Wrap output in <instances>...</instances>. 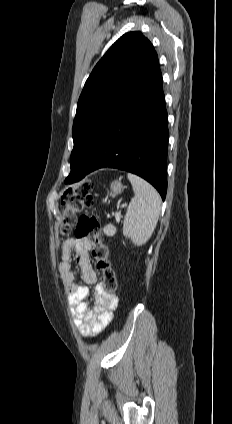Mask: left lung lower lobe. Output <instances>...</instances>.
Segmentation results:
<instances>
[{
  "label": "left lung lower lobe",
  "instance_id": "obj_1",
  "mask_svg": "<svg viewBox=\"0 0 232 424\" xmlns=\"http://www.w3.org/2000/svg\"><path fill=\"white\" fill-rule=\"evenodd\" d=\"M162 83L157 65L102 137L84 176L105 167L125 170L150 182L165 199L169 132Z\"/></svg>",
  "mask_w": 232,
  "mask_h": 424
}]
</instances>
